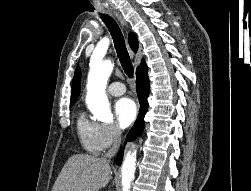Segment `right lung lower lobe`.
Instances as JSON below:
<instances>
[{
    "instance_id": "right-lung-lower-lobe-1",
    "label": "right lung lower lobe",
    "mask_w": 251,
    "mask_h": 191,
    "mask_svg": "<svg viewBox=\"0 0 251 191\" xmlns=\"http://www.w3.org/2000/svg\"><path fill=\"white\" fill-rule=\"evenodd\" d=\"M136 91L140 103V110L138 118L133 125L132 129L130 130L127 141L135 140L138 136H140L144 130V116L148 110V102L147 98L150 92V85H149V79L148 75L139 76L136 79ZM122 157H123V150H121L116 159L115 162L117 165H121L122 163Z\"/></svg>"
}]
</instances>
